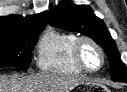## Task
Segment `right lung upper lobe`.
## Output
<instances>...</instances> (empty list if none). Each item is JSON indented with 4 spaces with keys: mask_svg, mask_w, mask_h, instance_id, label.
Returning <instances> with one entry per match:
<instances>
[{
    "mask_svg": "<svg viewBox=\"0 0 127 92\" xmlns=\"http://www.w3.org/2000/svg\"><path fill=\"white\" fill-rule=\"evenodd\" d=\"M47 12L33 16L9 15L0 17V34L15 35L34 29L45 28Z\"/></svg>",
    "mask_w": 127,
    "mask_h": 92,
    "instance_id": "right-lung-upper-lobe-1",
    "label": "right lung upper lobe"
}]
</instances>
